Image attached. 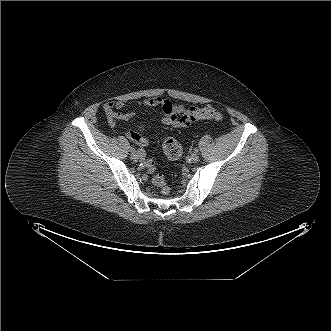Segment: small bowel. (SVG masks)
Wrapping results in <instances>:
<instances>
[{"label":"small bowel","mask_w":331,"mask_h":331,"mask_svg":"<svg viewBox=\"0 0 331 331\" xmlns=\"http://www.w3.org/2000/svg\"><path fill=\"white\" fill-rule=\"evenodd\" d=\"M142 104L147 107H161L163 112L162 124L165 126L177 129L187 126L183 123L181 117L184 110L190 107H187L184 104L173 103L160 96L144 99ZM124 108L125 103L123 101H110L103 105V111L112 128L116 127L117 121H126L134 116V111L130 110L125 112L123 111ZM126 137L141 147H146L149 143L148 140L137 131H128Z\"/></svg>","instance_id":"small-bowel-1"}]
</instances>
